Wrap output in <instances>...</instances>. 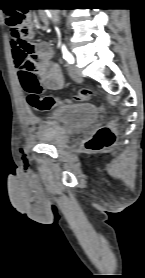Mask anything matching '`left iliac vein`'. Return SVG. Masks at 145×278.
Returning <instances> with one entry per match:
<instances>
[{
    "label": "left iliac vein",
    "mask_w": 145,
    "mask_h": 278,
    "mask_svg": "<svg viewBox=\"0 0 145 278\" xmlns=\"http://www.w3.org/2000/svg\"><path fill=\"white\" fill-rule=\"evenodd\" d=\"M68 72L70 77L74 80V81H81L82 80V75L80 73V70L75 67L74 65H69L68 66Z\"/></svg>",
    "instance_id": "1"
}]
</instances>
